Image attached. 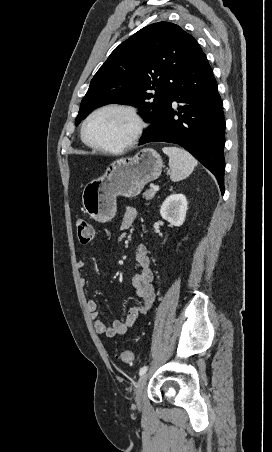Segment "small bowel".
I'll use <instances>...</instances> for the list:
<instances>
[{
	"label": "small bowel",
	"instance_id": "small-bowel-1",
	"mask_svg": "<svg viewBox=\"0 0 272 452\" xmlns=\"http://www.w3.org/2000/svg\"><path fill=\"white\" fill-rule=\"evenodd\" d=\"M136 217L137 210L134 207L127 208L121 222V230H128L136 220ZM135 260L140 270L133 276L132 284L137 295L141 298V303L130 308L123 320H115L111 325H107L101 318L96 301L93 299L87 301V309L91 313L94 321V329L100 335L114 337L127 334L133 328L138 318L147 314L154 304V273L150 266L147 247L144 244L137 246ZM86 267L87 263L85 261L80 260L77 262V268L79 270H83ZM80 284L86 286L88 284L87 278L81 277Z\"/></svg>",
	"mask_w": 272,
	"mask_h": 452
}]
</instances>
